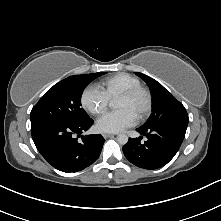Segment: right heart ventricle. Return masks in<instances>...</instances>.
I'll use <instances>...</instances> for the list:
<instances>
[{
    "label": "right heart ventricle",
    "mask_w": 221,
    "mask_h": 221,
    "mask_svg": "<svg viewBox=\"0 0 221 221\" xmlns=\"http://www.w3.org/2000/svg\"><path fill=\"white\" fill-rule=\"evenodd\" d=\"M140 85L141 81L128 73H119L100 82L101 91L109 100L115 99L122 92Z\"/></svg>",
    "instance_id": "1"
}]
</instances>
